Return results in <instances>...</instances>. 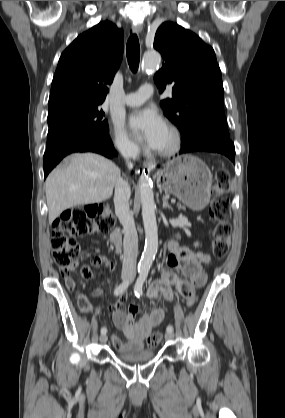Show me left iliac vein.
Returning <instances> with one entry per match:
<instances>
[{
	"label": "left iliac vein",
	"instance_id": "4c4485c4",
	"mask_svg": "<svg viewBox=\"0 0 285 418\" xmlns=\"http://www.w3.org/2000/svg\"><path fill=\"white\" fill-rule=\"evenodd\" d=\"M173 337H174L173 332H166V334H165V338H166L167 340H171V339H173Z\"/></svg>",
	"mask_w": 285,
	"mask_h": 418
}]
</instances>
